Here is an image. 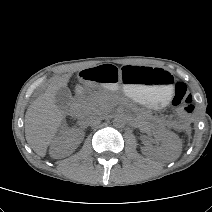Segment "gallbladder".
<instances>
[{"label":"gallbladder","mask_w":212,"mask_h":212,"mask_svg":"<svg viewBox=\"0 0 212 212\" xmlns=\"http://www.w3.org/2000/svg\"><path fill=\"white\" fill-rule=\"evenodd\" d=\"M72 99L71 91L68 87H61L55 95V103L60 109H66Z\"/></svg>","instance_id":"bac80fb5"}]
</instances>
